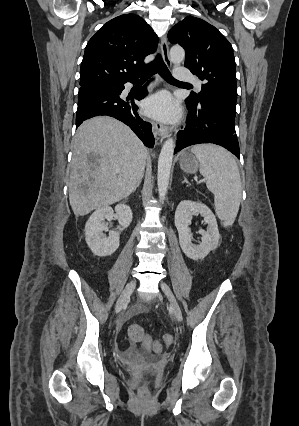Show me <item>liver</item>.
Masks as SVG:
<instances>
[{
	"mask_svg": "<svg viewBox=\"0 0 299 426\" xmlns=\"http://www.w3.org/2000/svg\"><path fill=\"white\" fill-rule=\"evenodd\" d=\"M146 156V147L122 122L98 116L82 123L73 139L69 181L75 216L128 197L143 177Z\"/></svg>",
	"mask_w": 299,
	"mask_h": 426,
	"instance_id": "liver-1",
	"label": "liver"
}]
</instances>
